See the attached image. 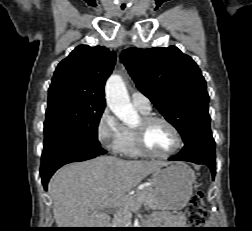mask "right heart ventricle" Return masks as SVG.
Here are the masks:
<instances>
[{
  "label": "right heart ventricle",
  "instance_id": "right-heart-ventricle-1",
  "mask_svg": "<svg viewBox=\"0 0 252 231\" xmlns=\"http://www.w3.org/2000/svg\"><path fill=\"white\" fill-rule=\"evenodd\" d=\"M144 116H148L149 112L139 110ZM120 152L131 157L143 156V153L138 149L135 141L134 131L130 127H125V136L120 148Z\"/></svg>",
  "mask_w": 252,
  "mask_h": 231
}]
</instances>
